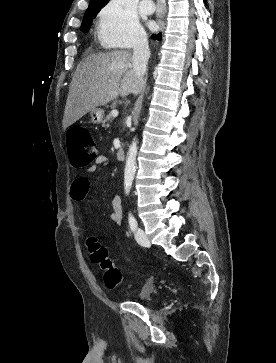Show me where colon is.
<instances>
[{"mask_svg":"<svg viewBox=\"0 0 276 363\" xmlns=\"http://www.w3.org/2000/svg\"><path fill=\"white\" fill-rule=\"evenodd\" d=\"M67 149L70 160L75 167L81 168L98 159L99 146L91 134L82 127H72L67 132ZM91 260L104 270V284L113 289L122 282L121 271L108 257L106 248L98 239L90 235L86 239Z\"/></svg>","mask_w":276,"mask_h":363,"instance_id":"obj_1","label":"colon"}]
</instances>
